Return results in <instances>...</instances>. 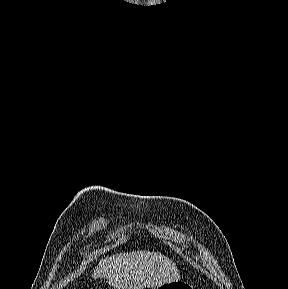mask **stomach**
I'll return each mask as SVG.
<instances>
[{"instance_id": "obj_1", "label": "stomach", "mask_w": 288, "mask_h": 289, "mask_svg": "<svg viewBox=\"0 0 288 289\" xmlns=\"http://www.w3.org/2000/svg\"><path fill=\"white\" fill-rule=\"evenodd\" d=\"M156 289H192V286L187 282L177 280L159 285L156 287Z\"/></svg>"}]
</instances>
